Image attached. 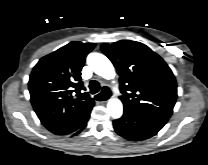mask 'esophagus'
<instances>
[{"instance_id": "esophagus-1", "label": "esophagus", "mask_w": 208, "mask_h": 165, "mask_svg": "<svg viewBox=\"0 0 208 165\" xmlns=\"http://www.w3.org/2000/svg\"><path fill=\"white\" fill-rule=\"evenodd\" d=\"M109 98L107 100H104V101H98L99 103H106L108 102Z\"/></svg>"}]
</instances>
